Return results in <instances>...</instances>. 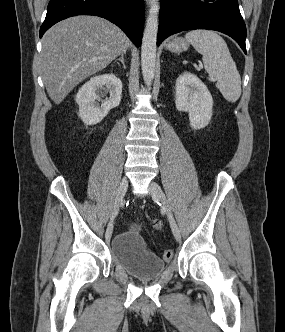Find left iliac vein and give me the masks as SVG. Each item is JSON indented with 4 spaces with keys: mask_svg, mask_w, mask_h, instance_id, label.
<instances>
[{
    "mask_svg": "<svg viewBox=\"0 0 285 332\" xmlns=\"http://www.w3.org/2000/svg\"><path fill=\"white\" fill-rule=\"evenodd\" d=\"M149 191H150V194L151 196L160 201L167 216H168V219H169V223H170V226H171V229H172V232H173V235L175 237V239L177 241L180 240L181 238V235H180V230H179V227L173 217V214H172V211H171V208L169 206V203L167 201V198L163 192V190L161 189V187L154 181H152L149 185Z\"/></svg>",
    "mask_w": 285,
    "mask_h": 332,
    "instance_id": "left-iliac-vein-1",
    "label": "left iliac vein"
}]
</instances>
